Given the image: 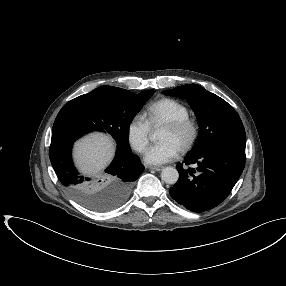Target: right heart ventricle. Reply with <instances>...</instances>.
Listing matches in <instances>:
<instances>
[{
	"mask_svg": "<svg viewBox=\"0 0 286 286\" xmlns=\"http://www.w3.org/2000/svg\"><path fill=\"white\" fill-rule=\"evenodd\" d=\"M145 114L149 124L157 126L169 120L189 116V109L176 99L163 98L149 104Z\"/></svg>",
	"mask_w": 286,
	"mask_h": 286,
	"instance_id": "obj_1",
	"label": "right heart ventricle"
}]
</instances>
